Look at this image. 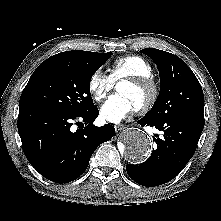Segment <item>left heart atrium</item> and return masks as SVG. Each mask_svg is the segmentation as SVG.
<instances>
[{
    "label": "left heart atrium",
    "mask_w": 221,
    "mask_h": 221,
    "mask_svg": "<svg viewBox=\"0 0 221 221\" xmlns=\"http://www.w3.org/2000/svg\"><path fill=\"white\" fill-rule=\"evenodd\" d=\"M135 110L136 107L126 95L116 93L110 96L101 106L100 115L105 121L119 123Z\"/></svg>",
    "instance_id": "39dd6f15"
}]
</instances>
